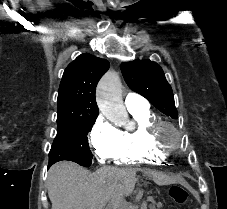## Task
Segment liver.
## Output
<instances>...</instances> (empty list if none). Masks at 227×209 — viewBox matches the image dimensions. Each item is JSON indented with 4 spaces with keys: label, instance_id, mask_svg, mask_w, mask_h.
I'll use <instances>...</instances> for the list:
<instances>
[{
    "label": "liver",
    "instance_id": "obj_1",
    "mask_svg": "<svg viewBox=\"0 0 227 209\" xmlns=\"http://www.w3.org/2000/svg\"><path fill=\"white\" fill-rule=\"evenodd\" d=\"M133 169L101 167L96 173L71 161H60L48 171L47 191L52 209H103L110 201L112 185L123 183L129 195L135 185Z\"/></svg>",
    "mask_w": 227,
    "mask_h": 209
}]
</instances>
